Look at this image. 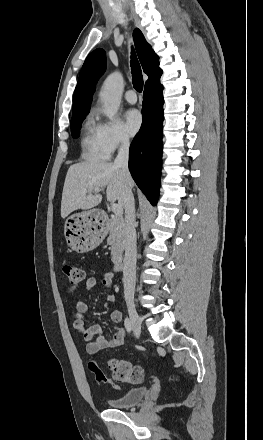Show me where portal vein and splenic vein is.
Segmentation results:
<instances>
[{"label": "portal vein and splenic vein", "instance_id": "obj_1", "mask_svg": "<svg viewBox=\"0 0 263 440\" xmlns=\"http://www.w3.org/2000/svg\"><path fill=\"white\" fill-rule=\"evenodd\" d=\"M99 191H96V193H98ZM111 209L113 211V213L115 214V216L117 217H121L123 215V208L121 207V205L119 204H111Z\"/></svg>", "mask_w": 263, "mask_h": 440}]
</instances>
